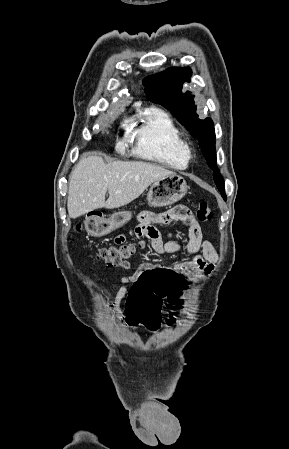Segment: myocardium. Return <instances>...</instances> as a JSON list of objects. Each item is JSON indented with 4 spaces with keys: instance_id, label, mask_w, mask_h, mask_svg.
Listing matches in <instances>:
<instances>
[{
    "instance_id": "obj_1",
    "label": "myocardium",
    "mask_w": 289,
    "mask_h": 449,
    "mask_svg": "<svg viewBox=\"0 0 289 449\" xmlns=\"http://www.w3.org/2000/svg\"><path fill=\"white\" fill-rule=\"evenodd\" d=\"M184 150H185L186 155L190 158L192 155V149L190 148V146L187 143L184 144Z\"/></svg>"
}]
</instances>
